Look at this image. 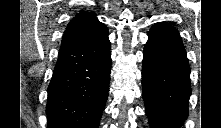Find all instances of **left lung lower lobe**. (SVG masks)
<instances>
[{"instance_id": "0a47b994", "label": "left lung lower lobe", "mask_w": 221, "mask_h": 128, "mask_svg": "<svg viewBox=\"0 0 221 128\" xmlns=\"http://www.w3.org/2000/svg\"><path fill=\"white\" fill-rule=\"evenodd\" d=\"M142 66V90L151 128H180L188 116L190 67L179 32L169 24L148 33Z\"/></svg>"}]
</instances>
